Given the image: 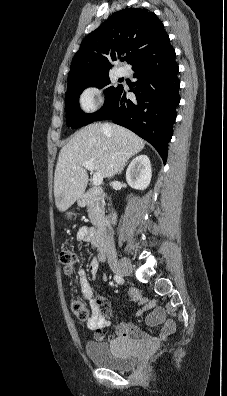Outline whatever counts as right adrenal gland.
<instances>
[{
	"instance_id": "1",
	"label": "right adrenal gland",
	"mask_w": 227,
	"mask_h": 396,
	"mask_svg": "<svg viewBox=\"0 0 227 396\" xmlns=\"http://www.w3.org/2000/svg\"><path fill=\"white\" fill-rule=\"evenodd\" d=\"M126 165V164H125ZM124 168V167H123ZM123 168L119 171L118 175L122 173Z\"/></svg>"
}]
</instances>
